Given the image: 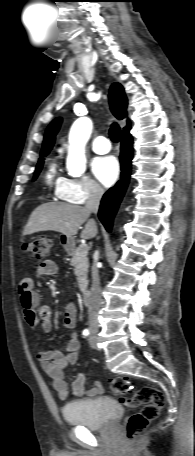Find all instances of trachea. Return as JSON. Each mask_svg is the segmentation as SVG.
I'll list each match as a JSON object with an SVG mask.
<instances>
[{
  "label": "trachea",
  "instance_id": "1",
  "mask_svg": "<svg viewBox=\"0 0 195 456\" xmlns=\"http://www.w3.org/2000/svg\"><path fill=\"white\" fill-rule=\"evenodd\" d=\"M109 135L111 140L115 143H117L120 140L121 130L116 122L112 123L111 128L109 130Z\"/></svg>",
  "mask_w": 195,
  "mask_h": 456
}]
</instances>
